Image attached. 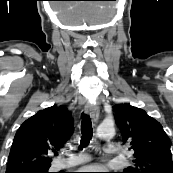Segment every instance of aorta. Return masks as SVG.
Returning a JSON list of instances; mask_svg holds the SVG:
<instances>
[{"label":"aorta","instance_id":"aorta-1","mask_svg":"<svg viewBox=\"0 0 173 173\" xmlns=\"http://www.w3.org/2000/svg\"><path fill=\"white\" fill-rule=\"evenodd\" d=\"M97 135L100 138H112L115 135L113 123H102L97 128Z\"/></svg>","mask_w":173,"mask_h":173}]
</instances>
